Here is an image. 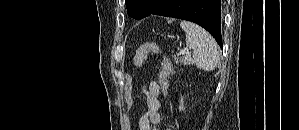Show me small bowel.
Listing matches in <instances>:
<instances>
[{"label":"small bowel","mask_w":299,"mask_h":130,"mask_svg":"<svg viewBox=\"0 0 299 130\" xmlns=\"http://www.w3.org/2000/svg\"><path fill=\"white\" fill-rule=\"evenodd\" d=\"M143 93L145 94V103L138 128L139 130H159L158 125L161 122L160 86L157 82L151 81L143 87Z\"/></svg>","instance_id":"obj_1"}]
</instances>
